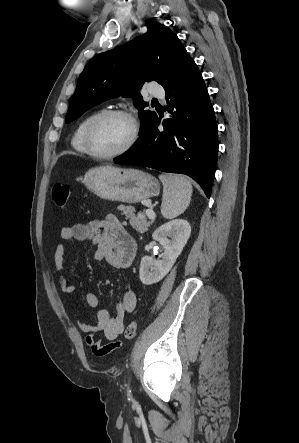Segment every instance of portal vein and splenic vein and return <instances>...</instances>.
<instances>
[{
	"instance_id": "18ae733b",
	"label": "portal vein and splenic vein",
	"mask_w": 299,
	"mask_h": 443,
	"mask_svg": "<svg viewBox=\"0 0 299 443\" xmlns=\"http://www.w3.org/2000/svg\"><path fill=\"white\" fill-rule=\"evenodd\" d=\"M146 215L151 221L155 220V213L152 210H147Z\"/></svg>"
}]
</instances>
